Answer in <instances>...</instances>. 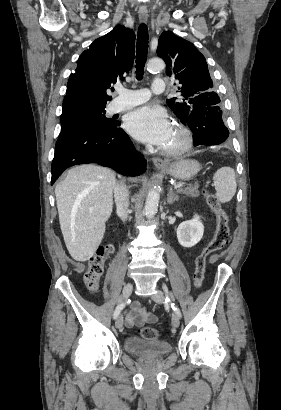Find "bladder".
I'll list each match as a JSON object with an SVG mask.
<instances>
[{
    "mask_svg": "<svg viewBox=\"0 0 281 410\" xmlns=\"http://www.w3.org/2000/svg\"><path fill=\"white\" fill-rule=\"evenodd\" d=\"M124 348L125 351L131 355L144 359H155L170 353L172 346L167 341L149 340L131 336L125 339Z\"/></svg>",
    "mask_w": 281,
    "mask_h": 410,
    "instance_id": "bladder-1",
    "label": "bladder"
}]
</instances>
